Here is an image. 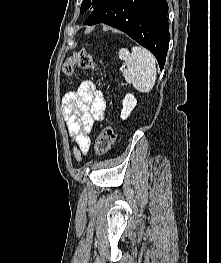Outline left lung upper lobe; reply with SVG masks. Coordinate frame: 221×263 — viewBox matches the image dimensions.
Returning <instances> with one entry per match:
<instances>
[{"label": "left lung upper lobe", "instance_id": "obj_1", "mask_svg": "<svg viewBox=\"0 0 221 263\" xmlns=\"http://www.w3.org/2000/svg\"><path fill=\"white\" fill-rule=\"evenodd\" d=\"M104 0H83L80 12L84 13L89 8H96L99 6Z\"/></svg>", "mask_w": 221, "mask_h": 263}]
</instances>
